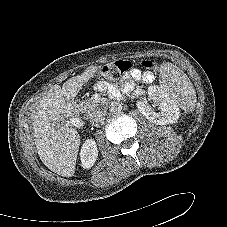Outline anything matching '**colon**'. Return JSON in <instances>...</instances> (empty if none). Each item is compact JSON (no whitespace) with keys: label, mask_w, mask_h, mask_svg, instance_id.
I'll return each instance as SVG.
<instances>
[{"label":"colon","mask_w":227,"mask_h":227,"mask_svg":"<svg viewBox=\"0 0 227 227\" xmlns=\"http://www.w3.org/2000/svg\"><path fill=\"white\" fill-rule=\"evenodd\" d=\"M142 67L144 76L148 79L156 73L158 65L155 60L146 59L142 62ZM130 68L131 64L129 62L121 60L102 67L100 73L107 78L117 79Z\"/></svg>","instance_id":"colon-1"}]
</instances>
